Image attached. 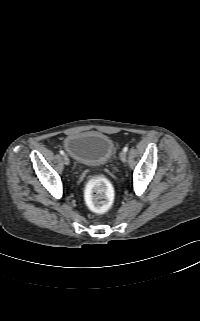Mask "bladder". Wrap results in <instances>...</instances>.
I'll use <instances>...</instances> for the list:
<instances>
[{"mask_svg":"<svg viewBox=\"0 0 200 321\" xmlns=\"http://www.w3.org/2000/svg\"><path fill=\"white\" fill-rule=\"evenodd\" d=\"M66 152L83 165H103L114 152L112 139L99 131H83L68 135L64 140Z\"/></svg>","mask_w":200,"mask_h":321,"instance_id":"obj_1","label":"bladder"}]
</instances>
